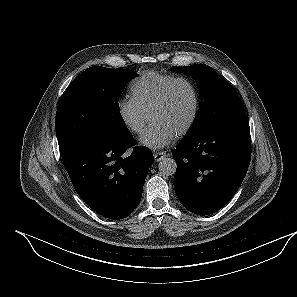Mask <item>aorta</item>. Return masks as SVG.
Returning <instances> with one entry per match:
<instances>
[{
  "mask_svg": "<svg viewBox=\"0 0 297 297\" xmlns=\"http://www.w3.org/2000/svg\"><path fill=\"white\" fill-rule=\"evenodd\" d=\"M176 168L177 164L173 158L163 157L158 164L159 171L166 176L175 174Z\"/></svg>",
  "mask_w": 297,
  "mask_h": 297,
  "instance_id": "obj_1",
  "label": "aorta"
}]
</instances>
